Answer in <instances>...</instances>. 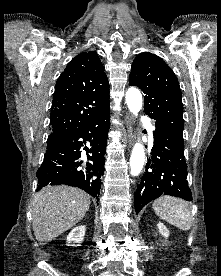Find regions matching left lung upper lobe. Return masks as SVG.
<instances>
[{
	"label": "left lung upper lobe",
	"mask_w": 221,
	"mask_h": 276,
	"mask_svg": "<svg viewBox=\"0 0 221 276\" xmlns=\"http://www.w3.org/2000/svg\"><path fill=\"white\" fill-rule=\"evenodd\" d=\"M129 84L145 94L144 112L156 121L155 127L183 140L181 89L172 69L157 55L140 53L131 66Z\"/></svg>",
	"instance_id": "5c2ea615"
}]
</instances>
